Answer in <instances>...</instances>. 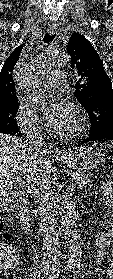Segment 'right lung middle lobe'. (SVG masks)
Here are the masks:
<instances>
[{
    "mask_svg": "<svg viewBox=\"0 0 113 279\" xmlns=\"http://www.w3.org/2000/svg\"><path fill=\"white\" fill-rule=\"evenodd\" d=\"M18 111V103L0 109V133H16L19 131L14 118Z\"/></svg>",
    "mask_w": 113,
    "mask_h": 279,
    "instance_id": "obj_1",
    "label": "right lung middle lobe"
}]
</instances>
